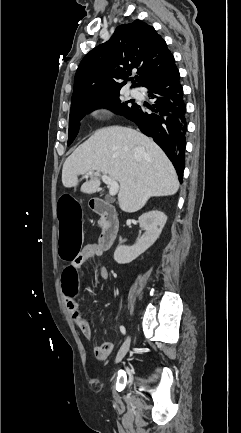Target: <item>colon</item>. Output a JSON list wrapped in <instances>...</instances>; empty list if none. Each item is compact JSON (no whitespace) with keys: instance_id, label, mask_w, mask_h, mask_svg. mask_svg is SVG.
Instances as JSON below:
<instances>
[{"instance_id":"5ec220e1","label":"colon","mask_w":241,"mask_h":433,"mask_svg":"<svg viewBox=\"0 0 241 433\" xmlns=\"http://www.w3.org/2000/svg\"><path fill=\"white\" fill-rule=\"evenodd\" d=\"M75 192H62L61 197L57 198L58 212L56 220L60 221L58 247L60 261H75L79 257L80 247H83V222L81 214H83V205H79L76 201ZM78 268L69 264L61 277V289L67 292L69 300L77 299L79 289L77 283Z\"/></svg>"}]
</instances>
